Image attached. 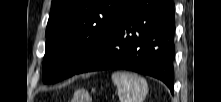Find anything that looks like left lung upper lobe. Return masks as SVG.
Returning a JSON list of instances; mask_svg holds the SVG:
<instances>
[{"label":"left lung upper lobe","mask_w":221,"mask_h":102,"mask_svg":"<svg viewBox=\"0 0 221 102\" xmlns=\"http://www.w3.org/2000/svg\"><path fill=\"white\" fill-rule=\"evenodd\" d=\"M129 0H52L43 82L74 75L107 37Z\"/></svg>","instance_id":"5c2ea615"}]
</instances>
